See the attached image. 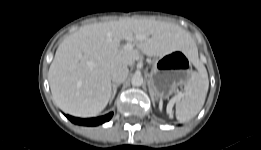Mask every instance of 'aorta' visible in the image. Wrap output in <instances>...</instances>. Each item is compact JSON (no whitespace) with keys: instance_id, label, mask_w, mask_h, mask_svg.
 Instances as JSON below:
<instances>
[{"instance_id":"aorta-1","label":"aorta","mask_w":261,"mask_h":150,"mask_svg":"<svg viewBox=\"0 0 261 150\" xmlns=\"http://www.w3.org/2000/svg\"><path fill=\"white\" fill-rule=\"evenodd\" d=\"M131 83L133 86H141L143 84V77L140 74H135L131 79Z\"/></svg>"}]
</instances>
